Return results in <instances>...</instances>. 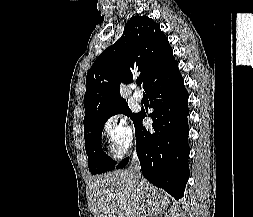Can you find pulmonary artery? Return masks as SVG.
Segmentation results:
<instances>
[{"mask_svg": "<svg viewBox=\"0 0 253 217\" xmlns=\"http://www.w3.org/2000/svg\"><path fill=\"white\" fill-rule=\"evenodd\" d=\"M133 98L135 101L141 102L143 99V94L139 90L135 89L133 92Z\"/></svg>", "mask_w": 253, "mask_h": 217, "instance_id": "1", "label": "pulmonary artery"}]
</instances>
